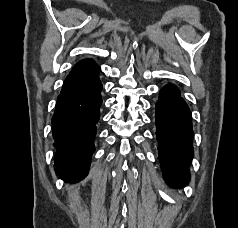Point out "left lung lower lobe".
Wrapping results in <instances>:
<instances>
[{"instance_id": "obj_1", "label": "left lung lower lobe", "mask_w": 238, "mask_h": 228, "mask_svg": "<svg viewBox=\"0 0 238 228\" xmlns=\"http://www.w3.org/2000/svg\"><path fill=\"white\" fill-rule=\"evenodd\" d=\"M155 123L164 178L171 187L183 188L190 178L193 157L192 117L175 85L168 84L161 89Z\"/></svg>"}]
</instances>
